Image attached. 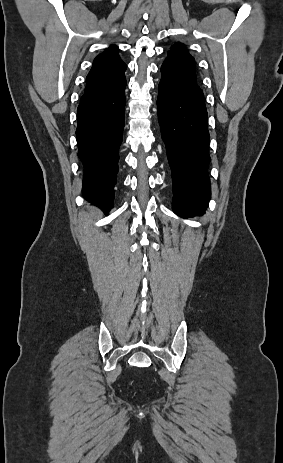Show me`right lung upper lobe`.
<instances>
[{"instance_id":"cb5924a9","label":"right lung upper lobe","mask_w":283,"mask_h":463,"mask_svg":"<svg viewBox=\"0 0 283 463\" xmlns=\"http://www.w3.org/2000/svg\"><path fill=\"white\" fill-rule=\"evenodd\" d=\"M117 50V46L112 45L94 59L87 75L85 91L106 85L124 75L126 64L120 59Z\"/></svg>"}]
</instances>
